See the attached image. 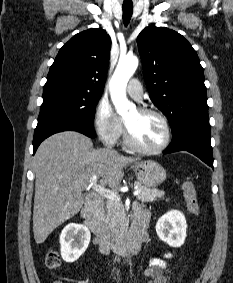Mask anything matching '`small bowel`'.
<instances>
[{"label": "small bowel", "instance_id": "1", "mask_svg": "<svg viewBox=\"0 0 233 283\" xmlns=\"http://www.w3.org/2000/svg\"><path fill=\"white\" fill-rule=\"evenodd\" d=\"M149 218L150 216L147 210L137 207L135 209L133 223L142 221L145 222L146 225H148ZM101 251L103 253H108L103 251L102 249ZM172 257L173 255L171 253H165L161 257H154L150 260L149 267L146 270V275L151 278V281L149 283H168L163 271L167 266V260L171 259Z\"/></svg>", "mask_w": 233, "mask_h": 283}]
</instances>
